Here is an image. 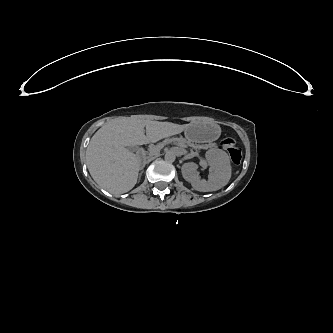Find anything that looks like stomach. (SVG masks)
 <instances>
[{
  "label": "stomach",
  "instance_id": "0dacf381",
  "mask_svg": "<svg viewBox=\"0 0 333 333\" xmlns=\"http://www.w3.org/2000/svg\"><path fill=\"white\" fill-rule=\"evenodd\" d=\"M187 139L192 141V142H195V140L193 138H191L190 136H187Z\"/></svg>",
  "mask_w": 333,
  "mask_h": 333
}]
</instances>
